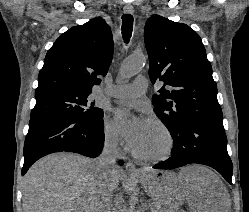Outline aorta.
Instances as JSON below:
<instances>
[{
	"mask_svg": "<svg viewBox=\"0 0 249 212\" xmlns=\"http://www.w3.org/2000/svg\"><path fill=\"white\" fill-rule=\"evenodd\" d=\"M145 62L146 59L142 54H136L128 57L121 65L119 72L120 78L126 79L136 75L145 65ZM128 203L129 207L127 208V212H136V196L134 193L130 194Z\"/></svg>",
	"mask_w": 249,
	"mask_h": 212,
	"instance_id": "762f6f07",
	"label": "aorta"
}]
</instances>
